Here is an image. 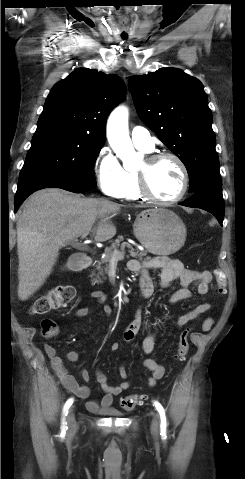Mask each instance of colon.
<instances>
[{"mask_svg": "<svg viewBox=\"0 0 245 479\" xmlns=\"http://www.w3.org/2000/svg\"><path fill=\"white\" fill-rule=\"evenodd\" d=\"M217 288L219 293H224L222 275L218 272ZM75 297V289L70 285H60L51 288L46 294L36 299L30 306L29 313L32 315H43L52 310L66 307ZM58 324L53 319H43L41 321V333L44 337H53L58 333ZM191 328H185L178 341L176 358L183 361L189 351V334ZM146 399L144 395H130L124 397L121 402V408L125 411H131Z\"/></svg>", "mask_w": 245, "mask_h": 479, "instance_id": "5ec220e1", "label": "colon"}]
</instances>
